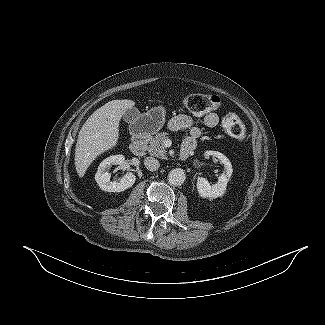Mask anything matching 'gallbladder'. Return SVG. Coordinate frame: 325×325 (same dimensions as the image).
I'll return each mask as SVG.
<instances>
[{
  "label": "gallbladder",
  "instance_id": "obj_1",
  "mask_svg": "<svg viewBox=\"0 0 325 325\" xmlns=\"http://www.w3.org/2000/svg\"><path fill=\"white\" fill-rule=\"evenodd\" d=\"M139 117V110L135 107L128 109L123 115V119L127 123H132Z\"/></svg>",
  "mask_w": 325,
  "mask_h": 325
}]
</instances>
